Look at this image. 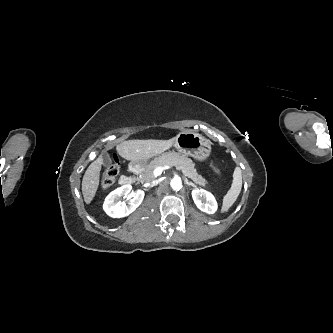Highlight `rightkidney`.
Here are the masks:
<instances>
[{"label":"right kidney","mask_w":333,"mask_h":333,"mask_svg":"<svg viewBox=\"0 0 333 333\" xmlns=\"http://www.w3.org/2000/svg\"><path fill=\"white\" fill-rule=\"evenodd\" d=\"M131 185H123L112 191L106 198L103 204V209L107 215L113 218H121L128 216L136 210L144 199V191L137 190L131 193ZM121 196L130 197L128 205L118 202Z\"/></svg>","instance_id":"ca27d5eb"}]
</instances>
